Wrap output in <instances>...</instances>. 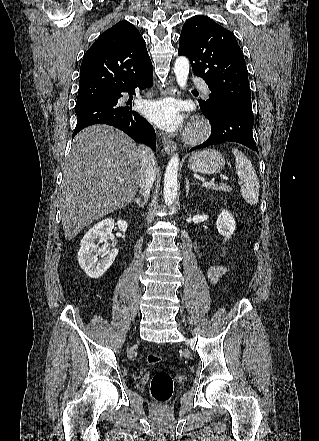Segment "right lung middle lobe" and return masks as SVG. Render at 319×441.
Returning <instances> with one entry per match:
<instances>
[{
  "label": "right lung middle lobe",
  "mask_w": 319,
  "mask_h": 441,
  "mask_svg": "<svg viewBox=\"0 0 319 441\" xmlns=\"http://www.w3.org/2000/svg\"><path fill=\"white\" fill-rule=\"evenodd\" d=\"M86 104H88V103H79V102H77L76 103V109L81 107V106H83V105H86Z\"/></svg>",
  "instance_id": "obj_1"
}]
</instances>
